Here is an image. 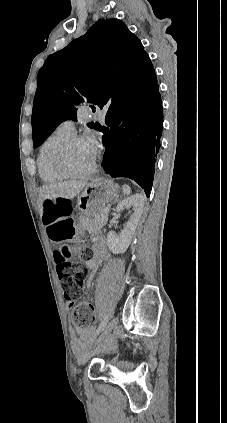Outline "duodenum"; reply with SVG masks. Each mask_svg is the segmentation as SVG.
Returning a JSON list of instances; mask_svg holds the SVG:
<instances>
[{"mask_svg": "<svg viewBox=\"0 0 227 423\" xmlns=\"http://www.w3.org/2000/svg\"><path fill=\"white\" fill-rule=\"evenodd\" d=\"M95 249L97 253L106 254L105 243L101 240L97 241L95 244Z\"/></svg>", "mask_w": 227, "mask_h": 423, "instance_id": "410a0bca", "label": "duodenum"}]
</instances>
